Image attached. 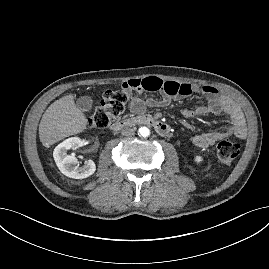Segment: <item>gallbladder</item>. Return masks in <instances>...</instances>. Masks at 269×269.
Listing matches in <instances>:
<instances>
[{
	"mask_svg": "<svg viewBox=\"0 0 269 269\" xmlns=\"http://www.w3.org/2000/svg\"><path fill=\"white\" fill-rule=\"evenodd\" d=\"M77 107L82 111H89L93 105V99L90 96H82L76 101Z\"/></svg>",
	"mask_w": 269,
	"mask_h": 269,
	"instance_id": "1",
	"label": "gallbladder"
}]
</instances>
